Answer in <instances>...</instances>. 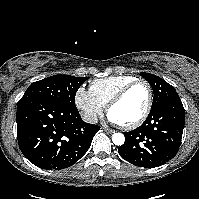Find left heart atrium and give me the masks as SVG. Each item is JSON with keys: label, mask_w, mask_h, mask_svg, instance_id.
Here are the masks:
<instances>
[{"label": "left heart atrium", "mask_w": 199, "mask_h": 199, "mask_svg": "<svg viewBox=\"0 0 199 199\" xmlns=\"http://www.w3.org/2000/svg\"><path fill=\"white\" fill-rule=\"evenodd\" d=\"M107 119H108L110 122H112V123H115V124H118V123H119L118 120H117L113 115H111L110 113H108Z\"/></svg>", "instance_id": "1"}]
</instances>
